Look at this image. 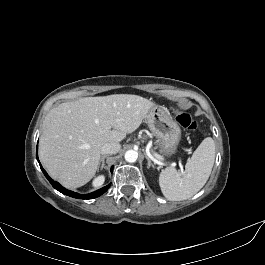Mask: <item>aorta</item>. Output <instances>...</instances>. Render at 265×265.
Returning a JSON list of instances; mask_svg holds the SVG:
<instances>
[{"label":"aorta","mask_w":265,"mask_h":265,"mask_svg":"<svg viewBox=\"0 0 265 265\" xmlns=\"http://www.w3.org/2000/svg\"><path fill=\"white\" fill-rule=\"evenodd\" d=\"M138 159V152L135 150H128L125 153V160L127 162L133 163Z\"/></svg>","instance_id":"obj_1"}]
</instances>
